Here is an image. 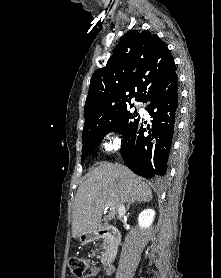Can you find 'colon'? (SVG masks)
<instances>
[{
	"label": "colon",
	"instance_id": "1",
	"mask_svg": "<svg viewBox=\"0 0 221 278\" xmlns=\"http://www.w3.org/2000/svg\"><path fill=\"white\" fill-rule=\"evenodd\" d=\"M69 267L74 276L77 278H84L91 269V263L90 260L85 257H72L69 260Z\"/></svg>",
	"mask_w": 221,
	"mask_h": 278
}]
</instances>
